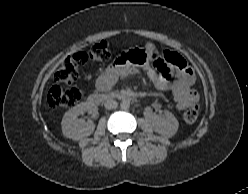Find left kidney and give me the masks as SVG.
Returning <instances> with one entry per match:
<instances>
[{
  "mask_svg": "<svg viewBox=\"0 0 248 194\" xmlns=\"http://www.w3.org/2000/svg\"><path fill=\"white\" fill-rule=\"evenodd\" d=\"M178 127V120L170 112H166L165 117L157 116L152 124V128L156 133L168 138L176 134Z\"/></svg>",
  "mask_w": 248,
  "mask_h": 194,
  "instance_id": "left-kidney-1",
  "label": "left kidney"
}]
</instances>
